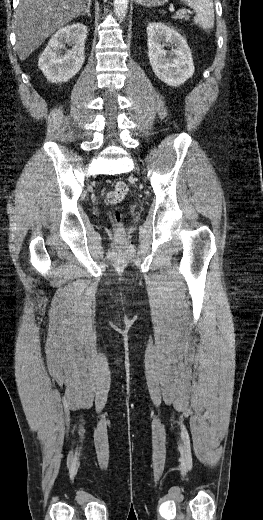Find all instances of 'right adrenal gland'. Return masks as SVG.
<instances>
[{"label": "right adrenal gland", "instance_id": "2a0ac1e0", "mask_svg": "<svg viewBox=\"0 0 263 520\" xmlns=\"http://www.w3.org/2000/svg\"><path fill=\"white\" fill-rule=\"evenodd\" d=\"M85 15H87L88 17H91L90 8L82 16H85Z\"/></svg>", "mask_w": 263, "mask_h": 520}]
</instances>
